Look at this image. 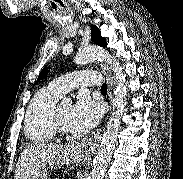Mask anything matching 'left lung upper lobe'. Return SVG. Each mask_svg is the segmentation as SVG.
<instances>
[{
    "label": "left lung upper lobe",
    "mask_w": 183,
    "mask_h": 179,
    "mask_svg": "<svg viewBox=\"0 0 183 179\" xmlns=\"http://www.w3.org/2000/svg\"><path fill=\"white\" fill-rule=\"evenodd\" d=\"M91 40L102 47L106 46V41L101 37L100 30L96 26H92L91 28ZM48 74V67H45L41 73L39 74L38 81L44 78Z\"/></svg>",
    "instance_id": "1"
}]
</instances>
